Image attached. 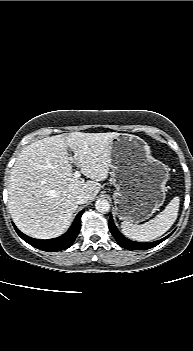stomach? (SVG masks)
Returning <instances> with one entry per match:
<instances>
[{
  "label": "stomach",
  "mask_w": 193,
  "mask_h": 351,
  "mask_svg": "<svg viewBox=\"0 0 193 351\" xmlns=\"http://www.w3.org/2000/svg\"><path fill=\"white\" fill-rule=\"evenodd\" d=\"M110 159L119 218L135 223L149 219L165 201L167 166L152 157L143 139L131 134L112 139Z\"/></svg>",
  "instance_id": "obj_1"
}]
</instances>
